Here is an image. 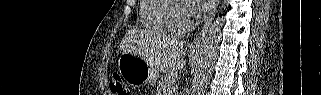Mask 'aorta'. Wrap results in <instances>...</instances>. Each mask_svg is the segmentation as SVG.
Returning a JSON list of instances; mask_svg holds the SVG:
<instances>
[{
	"instance_id": "762f6f07",
	"label": "aorta",
	"mask_w": 321,
	"mask_h": 95,
	"mask_svg": "<svg viewBox=\"0 0 321 95\" xmlns=\"http://www.w3.org/2000/svg\"><path fill=\"white\" fill-rule=\"evenodd\" d=\"M221 28L222 19L217 18L208 30L197 59L191 95H204L207 89L217 56Z\"/></svg>"
}]
</instances>
